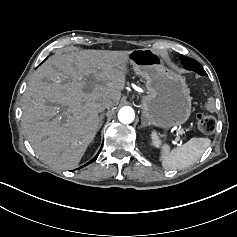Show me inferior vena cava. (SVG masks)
Segmentation results:
<instances>
[{
  "instance_id": "602c4592",
  "label": "inferior vena cava",
  "mask_w": 237,
  "mask_h": 237,
  "mask_svg": "<svg viewBox=\"0 0 237 237\" xmlns=\"http://www.w3.org/2000/svg\"><path fill=\"white\" fill-rule=\"evenodd\" d=\"M112 106H113V102L111 100H105L101 102L102 109L112 107Z\"/></svg>"
}]
</instances>
